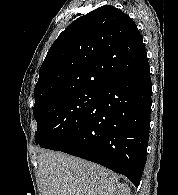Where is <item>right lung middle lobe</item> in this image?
<instances>
[{
	"label": "right lung middle lobe",
	"instance_id": "obj_1",
	"mask_svg": "<svg viewBox=\"0 0 178 195\" xmlns=\"http://www.w3.org/2000/svg\"><path fill=\"white\" fill-rule=\"evenodd\" d=\"M97 94V90H78L49 98L35 106L36 144L51 150L56 148L91 109Z\"/></svg>",
	"mask_w": 178,
	"mask_h": 195
}]
</instances>
